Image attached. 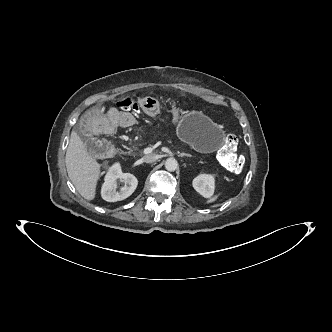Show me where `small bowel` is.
<instances>
[{"label": "small bowel", "instance_id": "obj_1", "mask_svg": "<svg viewBox=\"0 0 332 332\" xmlns=\"http://www.w3.org/2000/svg\"><path fill=\"white\" fill-rule=\"evenodd\" d=\"M138 103L148 113H158L161 108L158 102L145 95L139 98ZM101 120H107L104 126L106 130H112L116 125L128 127L133 123V117L128 113L112 109L108 102H99L95 109L85 110L75 119V128L82 132V138L86 142H95L99 138L97 125Z\"/></svg>", "mask_w": 332, "mask_h": 332}]
</instances>
